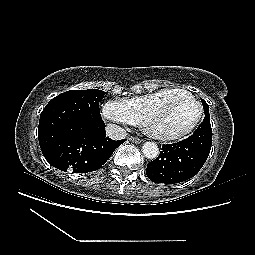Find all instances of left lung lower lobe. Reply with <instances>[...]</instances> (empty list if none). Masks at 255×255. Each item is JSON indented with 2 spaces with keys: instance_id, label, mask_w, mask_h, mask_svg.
<instances>
[{
  "instance_id": "obj_1",
  "label": "left lung lower lobe",
  "mask_w": 255,
  "mask_h": 255,
  "mask_svg": "<svg viewBox=\"0 0 255 255\" xmlns=\"http://www.w3.org/2000/svg\"><path fill=\"white\" fill-rule=\"evenodd\" d=\"M212 144L209 112L197 130L185 140L163 144L159 156L148 163L146 174L155 183L175 184L195 176L204 165Z\"/></svg>"
}]
</instances>
